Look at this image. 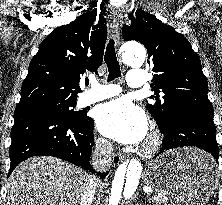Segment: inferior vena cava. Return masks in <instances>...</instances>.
<instances>
[{
    "instance_id": "1",
    "label": "inferior vena cava",
    "mask_w": 222,
    "mask_h": 205,
    "mask_svg": "<svg viewBox=\"0 0 222 205\" xmlns=\"http://www.w3.org/2000/svg\"><path fill=\"white\" fill-rule=\"evenodd\" d=\"M113 146L108 140L99 139L91 158V165L99 171L108 170L111 166ZM96 181L91 177L83 189L80 205H91L95 195Z\"/></svg>"
}]
</instances>
